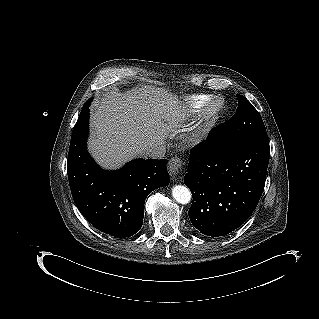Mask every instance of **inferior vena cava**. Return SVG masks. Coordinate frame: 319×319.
<instances>
[{
	"label": "inferior vena cava",
	"mask_w": 319,
	"mask_h": 319,
	"mask_svg": "<svg viewBox=\"0 0 319 319\" xmlns=\"http://www.w3.org/2000/svg\"><path fill=\"white\" fill-rule=\"evenodd\" d=\"M144 157L162 159L166 153L165 145L145 146L141 149Z\"/></svg>",
	"instance_id": "602c4592"
}]
</instances>
